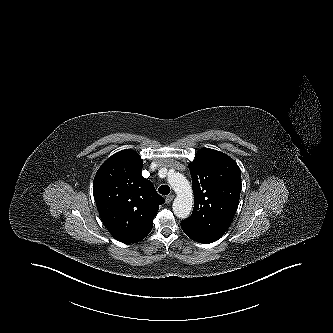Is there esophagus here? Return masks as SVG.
<instances>
[{
    "label": "esophagus",
    "instance_id": "esophagus-1",
    "mask_svg": "<svg viewBox=\"0 0 333 333\" xmlns=\"http://www.w3.org/2000/svg\"><path fill=\"white\" fill-rule=\"evenodd\" d=\"M173 199H174V195L170 194V195L166 196L165 201H166V203H171Z\"/></svg>",
    "mask_w": 333,
    "mask_h": 333
}]
</instances>
